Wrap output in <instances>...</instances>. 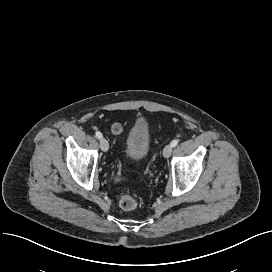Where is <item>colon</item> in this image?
Instances as JSON below:
<instances>
[{
  "instance_id": "obj_1",
  "label": "colon",
  "mask_w": 272,
  "mask_h": 272,
  "mask_svg": "<svg viewBox=\"0 0 272 272\" xmlns=\"http://www.w3.org/2000/svg\"><path fill=\"white\" fill-rule=\"evenodd\" d=\"M112 131L113 132L118 131V127L117 126L112 127ZM138 205H139L138 199L129 194H125L121 196V198L119 199V207L123 211H133L137 209Z\"/></svg>"
}]
</instances>
